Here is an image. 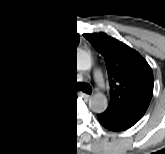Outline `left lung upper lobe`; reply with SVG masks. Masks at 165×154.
Here are the masks:
<instances>
[{"mask_svg": "<svg viewBox=\"0 0 165 154\" xmlns=\"http://www.w3.org/2000/svg\"><path fill=\"white\" fill-rule=\"evenodd\" d=\"M95 50L104 56L110 86L106 112L141 119L153 95V72L135 50L106 33L84 34Z\"/></svg>", "mask_w": 165, "mask_h": 154, "instance_id": "left-lung-upper-lobe-1", "label": "left lung upper lobe"}]
</instances>
